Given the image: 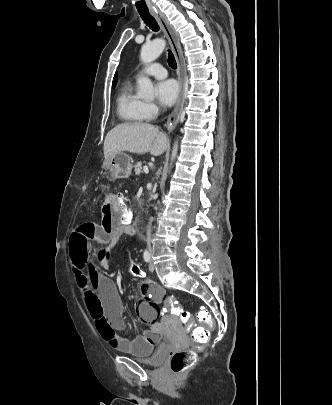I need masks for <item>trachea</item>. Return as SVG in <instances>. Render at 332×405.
<instances>
[{"mask_svg": "<svg viewBox=\"0 0 332 405\" xmlns=\"http://www.w3.org/2000/svg\"><path fill=\"white\" fill-rule=\"evenodd\" d=\"M138 13L140 14L142 20L144 23L153 31H158L159 30V25L157 24L155 18L149 13L148 10L146 11H139ZM168 64L171 68L176 69L177 68V63L175 60V57L173 53L169 50L168 53Z\"/></svg>", "mask_w": 332, "mask_h": 405, "instance_id": "3493384b", "label": "trachea"}]
</instances>
